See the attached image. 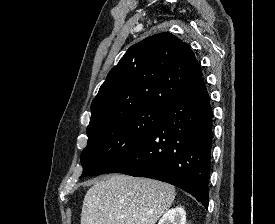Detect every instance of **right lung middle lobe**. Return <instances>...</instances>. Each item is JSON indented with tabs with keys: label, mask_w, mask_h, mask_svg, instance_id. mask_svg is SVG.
<instances>
[{
	"label": "right lung middle lobe",
	"mask_w": 275,
	"mask_h": 224,
	"mask_svg": "<svg viewBox=\"0 0 275 224\" xmlns=\"http://www.w3.org/2000/svg\"><path fill=\"white\" fill-rule=\"evenodd\" d=\"M166 109L145 107L87 128L80 178L106 172L133 151L155 128Z\"/></svg>",
	"instance_id": "1"
}]
</instances>
